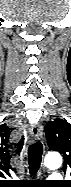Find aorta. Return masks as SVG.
<instances>
[{
  "mask_svg": "<svg viewBox=\"0 0 71 187\" xmlns=\"http://www.w3.org/2000/svg\"><path fill=\"white\" fill-rule=\"evenodd\" d=\"M44 164L47 168L55 169L61 166L62 157L57 152L49 153L45 156Z\"/></svg>",
  "mask_w": 71,
  "mask_h": 187,
  "instance_id": "obj_1",
  "label": "aorta"
}]
</instances>
